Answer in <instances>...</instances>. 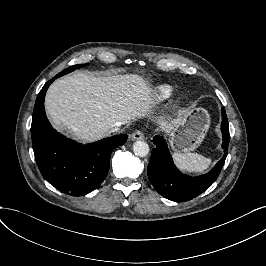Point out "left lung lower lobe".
<instances>
[{
	"label": "left lung lower lobe",
	"mask_w": 266,
	"mask_h": 266,
	"mask_svg": "<svg viewBox=\"0 0 266 266\" xmlns=\"http://www.w3.org/2000/svg\"><path fill=\"white\" fill-rule=\"evenodd\" d=\"M221 131L223 133L222 147L224 149L222 159L210 172L197 177L181 173L172 161L165 140L155 136L153 142L156 148L151 153L147 173L156 191L169 200L184 202L197 197L207 190L218 178L227 156L230 135L224 108H222Z\"/></svg>",
	"instance_id": "1"
}]
</instances>
